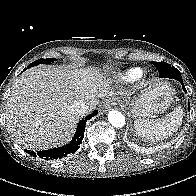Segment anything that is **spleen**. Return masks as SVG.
Returning <instances> with one entry per match:
<instances>
[{"mask_svg": "<svg viewBox=\"0 0 196 196\" xmlns=\"http://www.w3.org/2000/svg\"><path fill=\"white\" fill-rule=\"evenodd\" d=\"M183 109L177 106L161 119H136L135 131L139 136L151 141H159L171 136L182 125Z\"/></svg>", "mask_w": 196, "mask_h": 196, "instance_id": "spleen-1", "label": "spleen"}]
</instances>
